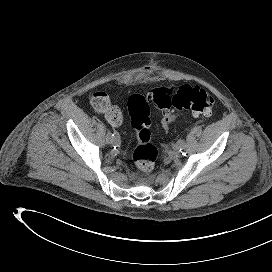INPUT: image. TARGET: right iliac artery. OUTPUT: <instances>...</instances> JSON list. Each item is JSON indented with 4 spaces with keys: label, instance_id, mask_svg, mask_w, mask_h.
Wrapping results in <instances>:
<instances>
[{
    "label": "right iliac artery",
    "instance_id": "obj_1",
    "mask_svg": "<svg viewBox=\"0 0 272 272\" xmlns=\"http://www.w3.org/2000/svg\"><path fill=\"white\" fill-rule=\"evenodd\" d=\"M107 135L111 138H116L118 136V131L116 129H111L108 131Z\"/></svg>",
    "mask_w": 272,
    "mask_h": 272
}]
</instances>
